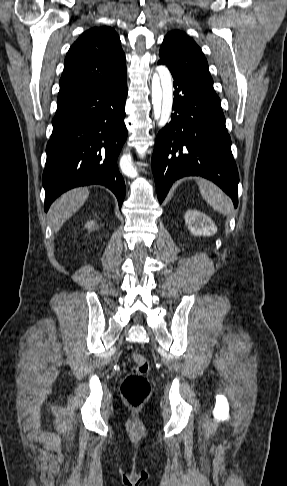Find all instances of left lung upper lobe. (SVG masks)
<instances>
[{
  "mask_svg": "<svg viewBox=\"0 0 287 486\" xmlns=\"http://www.w3.org/2000/svg\"><path fill=\"white\" fill-rule=\"evenodd\" d=\"M159 56L169 67L214 91L213 80L204 54L194 40L184 32L178 30L169 32L164 38Z\"/></svg>",
  "mask_w": 287,
  "mask_h": 486,
  "instance_id": "left-lung-upper-lobe-1",
  "label": "left lung upper lobe"
}]
</instances>
